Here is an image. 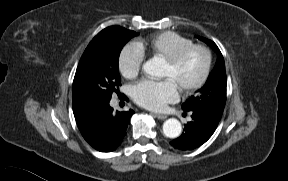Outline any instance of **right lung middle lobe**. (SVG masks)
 Masks as SVG:
<instances>
[{"label": "right lung middle lobe", "mask_w": 288, "mask_h": 181, "mask_svg": "<svg viewBox=\"0 0 288 181\" xmlns=\"http://www.w3.org/2000/svg\"><path fill=\"white\" fill-rule=\"evenodd\" d=\"M137 35L120 26H110L99 32L80 59L73 91L95 103L108 104L121 83L118 65L120 52Z\"/></svg>", "instance_id": "obj_1"}]
</instances>
